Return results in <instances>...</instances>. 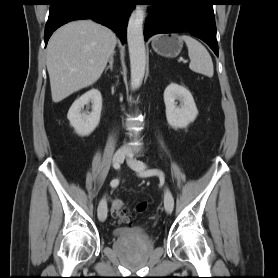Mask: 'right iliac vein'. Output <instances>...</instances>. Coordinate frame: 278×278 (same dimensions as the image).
Instances as JSON below:
<instances>
[{
    "mask_svg": "<svg viewBox=\"0 0 278 278\" xmlns=\"http://www.w3.org/2000/svg\"><path fill=\"white\" fill-rule=\"evenodd\" d=\"M125 159L124 151H117L113 156V163L120 165ZM98 218L100 221H105L107 218V203L105 197L99 203L98 206Z\"/></svg>",
    "mask_w": 278,
    "mask_h": 278,
    "instance_id": "1",
    "label": "right iliac vein"
}]
</instances>
